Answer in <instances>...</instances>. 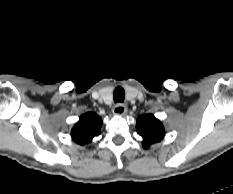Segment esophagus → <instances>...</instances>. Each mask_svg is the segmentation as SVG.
<instances>
[{"label": "esophagus", "instance_id": "1", "mask_svg": "<svg viewBox=\"0 0 233 194\" xmlns=\"http://www.w3.org/2000/svg\"><path fill=\"white\" fill-rule=\"evenodd\" d=\"M127 111V107L124 104L118 103L113 108V113L115 115H124Z\"/></svg>", "mask_w": 233, "mask_h": 194}]
</instances>
